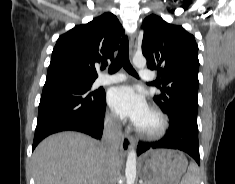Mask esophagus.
I'll return each mask as SVG.
<instances>
[{"label": "esophagus", "mask_w": 235, "mask_h": 184, "mask_svg": "<svg viewBox=\"0 0 235 184\" xmlns=\"http://www.w3.org/2000/svg\"><path fill=\"white\" fill-rule=\"evenodd\" d=\"M136 47H137V34H134L132 35L130 41V50H129V56L131 61L133 60V57L135 55ZM133 142L134 140L130 135L123 134L121 137V144H120L121 153L126 155L129 152Z\"/></svg>", "instance_id": "1"}]
</instances>
